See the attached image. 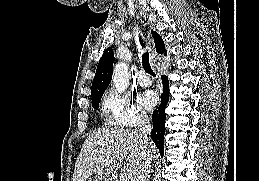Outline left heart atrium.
I'll use <instances>...</instances> for the list:
<instances>
[{
	"mask_svg": "<svg viewBox=\"0 0 259 181\" xmlns=\"http://www.w3.org/2000/svg\"><path fill=\"white\" fill-rule=\"evenodd\" d=\"M158 97L155 92L147 90L139 97V104L146 110H151L156 106Z\"/></svg>",
	"mask_w": 259,
	"mask_h": 181,
	"instance_id": "obj_1",
	"label": "left heart atrium"
}]
</instances>
